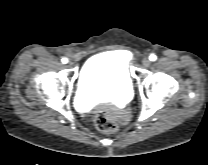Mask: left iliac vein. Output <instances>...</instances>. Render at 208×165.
<instances>
[{"label":"left iliac vein","instance_id":"1","mask_svg":"<svg viewBox=\"0 0 208 165\" xmlns=\"http://www.w3.org/2000/svg\"><path fill=\"white\" fill-rule=\"evenodd\" d=\"M142 63H143V65L146 66V67H148V66L151 64L149 58H147V57H144V58H143Z\"/></svg>","mask_w":208,"mask_h":165}]
</instances>
